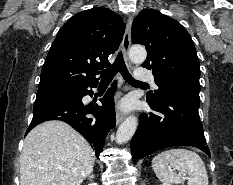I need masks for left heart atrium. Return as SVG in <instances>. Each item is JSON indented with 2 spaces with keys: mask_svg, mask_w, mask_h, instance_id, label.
<instances>
[{
  "mask_svg": "<svg viewBox=\"0 0 233 185\" xmlns=\"http://www.w3.org/2000/svg\"><path fill=\"white\" fill-rule=\"evenodd\" d=\"M121 108L124 109V110H128L130 108V105L126 102H124L122 105H121Z\"/></svg>",
  "mask_w": 233,
  "mask_h": 185,
  "instance_id": "left-heart-atrium-1",
  "label": "left heart atrium"
}]
</instances>
